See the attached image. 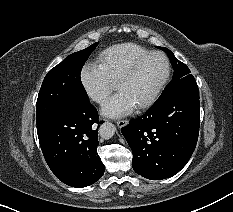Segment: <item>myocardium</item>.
<instances>
[{"mask_svg":"<svg viewBox=\"0 0 233 212\" xmlns=\"http://www.w3.org/2000/svg\"><path fill=\"white\" fill-rule=\"evenodd\" d=\"M152 56H159L164 60V62H165V74H164L163 79L161 80V82L159 83L157 88L155 89V91L151 94V96L147 100H145L144 102H142L136 106V109H138V110L148 108L152 104H154L155 101L160 96V94L162 93L165 86L167 85L169 78H170V74H171V63H170L168 56L160 51H150V52L140 56L136 60H134L129 65V67L123 72V74L118 78V80L116 81V87H118L121 83L129 80L136 73V71L138 70L140 65L145 60H147L148 58H150Z\"/></svg>","mask_w":233,"mask_h":212,"instance_id":"1","label":"myocardium"}]
</instances>
